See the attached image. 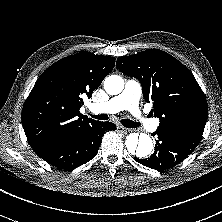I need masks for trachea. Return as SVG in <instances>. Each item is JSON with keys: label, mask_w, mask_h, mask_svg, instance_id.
<instances>
[{"label": "trachea", "mask_w": 222, "mask_h": 222, "mask_svg": "<svg viewBox=\"0 0 222 222\" xmlns=\"http://www.w3.org/2000/svg\"><path fill=\"white\" fill-rule=\"evenodd\" d=\"M92 118L97 120H107L109 117L107 114H100V115H90ZM121 123L123 126L127 128H137L139 127V124L137 122L131 121L129 119H123L121 120Z\"/></svg>", "instance_id": "trachea-1"}]
</instances>
